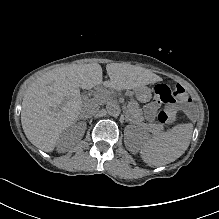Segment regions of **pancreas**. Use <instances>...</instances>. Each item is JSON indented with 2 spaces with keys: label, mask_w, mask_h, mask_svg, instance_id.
I'll use <instances>...</instances> for the list:
<instances>
[{
  "label": "pancreas",
  "mask_w": 219,
  "mask_h": 219,
  "mask_svg": "<svg viewBox=\"0 0 219 219\" xmlns=\"http://www.w3.org/2000/svg\"><path fill=\"white\" fill-rule=\"evenodd\" d=\"M127 115L128 121L130 123H134L137 126H143L145 124V119L143 118V114L141 112L140 105L136 104V100L134 98H129L127 100ZM146 128L153 132L154 134L160 133L163 130L162 126L155 125V124H147Z\"/></svg>",
  "instance_id": "obj_1"
}]
</instances>
